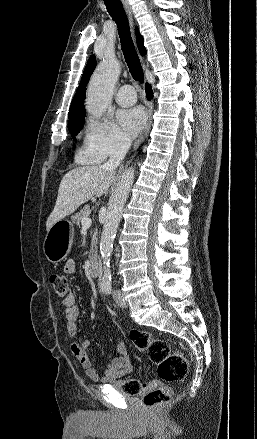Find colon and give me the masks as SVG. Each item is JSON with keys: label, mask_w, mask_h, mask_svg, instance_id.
Returning <instances> with one entry per match:
<instances>
[{"label": "colon", "mask_w": 257, "mask_h": 439, "mask_svg": "<svg viewBox=\"0 0 257 439\" xmlns=\"http://www.w3.org/2000/svg\"><path fill=\"white\" fill-rule=\"evenodd\" d=\"M50 283L59 297H68L69 289L65 276L53 274ZM130 339L135 348L156 366L160 380L140 382L133 378H124L118 380V386L126 394L144 392V405L148 408H158L168 402L171 396L170 389L163 382L182 380L188 371V361L181 350L173 349L167 341L156 338L148 331L133 329Z\"/></svg>", "instance_id": "obj_1"}]
</instances>
